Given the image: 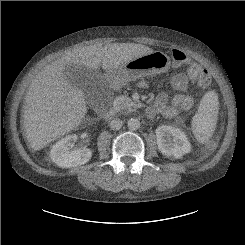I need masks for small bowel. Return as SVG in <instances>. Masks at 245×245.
Instances as JSON below:
<instances>
[{
	"label": "small bowel",
	"mask_w": 245,
	"mask_h": 245,
	"mask_svg": "<svg viewBox=\"0 0 245 245\" xmlns=\"http://www.w3.org/2000/svg\"><path fill=\"white\" fill-rule=\"evenodd\" d=\"M196 70L205 71L198 64L186 71V74L178 73L172 76L171 85L176 90V94L169 99L165 93H160L155 98L154 103L146 110L148 117L161 114L165 118H174L181 112L187 111L194 105V97L185 92L188 82L192 81V75Z\"/></svg>",
	"instance_id": "1"
}]
</instances>
